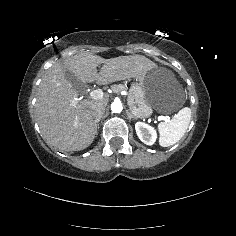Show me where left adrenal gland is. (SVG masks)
I'll use <instances>...</instances> for the list:
<instances>
[{
  "mask_svg": "<svg viewBox=\"0 0 236 236\" xmlns=\"http://www.w3.org/2000/svg\"><path fill=\"white\" fill-rule=\"evenodd\" d=\"M126 115L128 116L129 119L134 117L130 112H128V110H126ZM134 118H136V117H134Z\"/></svg>",
  "mask_w": 236,
  "mask_h": 236,
  "instance_id": "left-adrenal-gland-1",
  "label": "left adrenal gland"
}]
</instances>
